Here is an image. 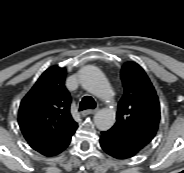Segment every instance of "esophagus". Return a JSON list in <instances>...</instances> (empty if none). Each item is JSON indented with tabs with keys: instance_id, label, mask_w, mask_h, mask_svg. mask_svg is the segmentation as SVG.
I'll list each match as a JSON object with an SVG mask.
<instances>
[{
	"instance_id": "esophagus-1",
	"label": "esophagus",
	"mask_w": 184,
	"mask_h": 173,
	"mask_svg": "<svg viewBox=\"0 0 184 173\" xmlns=\"http://www.w3.org/2000/svg\"><path fill=\"white\" fill-rule=\"evenodd\" d=\"M98 111V109H88L81 112L82 116H87L91 114H95Z\"/></svg>"
}]
</instances>
